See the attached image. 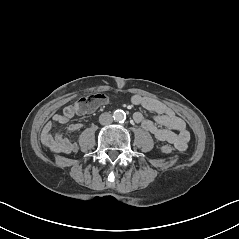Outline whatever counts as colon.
<instances>
[{
    "label": "colon",
    "mask_w": 239,
    "mask_h": 239,
    "mask_svg": "<svg viewBox=\"0 0 239 239\" xmlns=\"http://www.w3.org/2000/svg\"><path fill=\"white\" fill-rule=\"evenodd\" d=\"M107 102V96L103 93H96L93 95H89L86 97L81 98L75 105V110H81V109H88L97 107L99 105H102ZM161 151L164 154H170L173 151V148L169 145H164L161 147Z\"/></svg>",
    "instance_id": "colon-1"
}]
</instances>
